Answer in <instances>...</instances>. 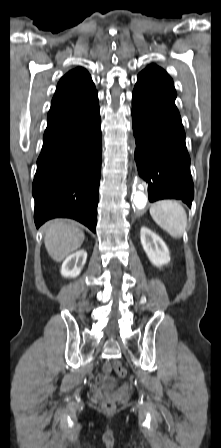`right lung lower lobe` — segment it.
<instances>
[{
  "label": "right lung lower lobe",
  "instance_id": "1",
  "mask_svg": "<svg viewBox=\"0 0 221 448\" xmlns=\"http://www.w3.org/2000/svg\"><path fill=\"white\" fill-rule=\"evenodd\" d=\"M101 148L97 92L48 118L32 189L37 228L49 219L67 217L95 233Z\"/></svg>",
  "mask_w": 221,
  "mask_h": 448
}]
</instances>
